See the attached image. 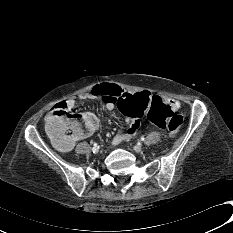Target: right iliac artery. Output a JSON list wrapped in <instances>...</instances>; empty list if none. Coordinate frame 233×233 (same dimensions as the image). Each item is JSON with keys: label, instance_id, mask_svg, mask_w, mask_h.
<instances>
[{"label": "right iliac artery", "instance_id": "obj_1", "mask_svg": "<svg viewBox=\"0 0 233 233\" xmlns=\"http://www.w3.org/2000/svg\"><path fill=\"white\" fill-rule=\"evenodd\" d=\"M94 149L95 148H98V146H97V144L96 143H94V147H93ZM94 153H95V151H93Z\"/></svg>", "mask_w": 233, "mask_h": 233}]
</instances>
